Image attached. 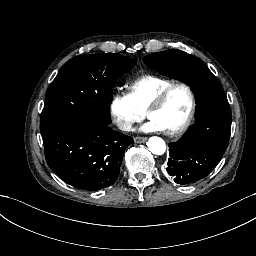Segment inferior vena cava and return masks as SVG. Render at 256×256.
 <instances>
[{
	"label": "inferior vena cava",
	"instance_id": "1",
	"mask_svg": "<svg viewBox=\"0 0 256 256\" xmlns=\"http://www.w3.org/2000/svg\"><path fill=\"white\" fill-rule=\"evenodd\" d=\"M116 124L119 127V129L123 130V131H131V129H132L131 122H129L127 120H124V119H121V118H118L116 120Z\"/></svg>",
	"mask_w": 256,
	"mask_h": 256
}]
</instances>
